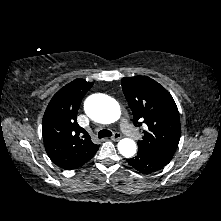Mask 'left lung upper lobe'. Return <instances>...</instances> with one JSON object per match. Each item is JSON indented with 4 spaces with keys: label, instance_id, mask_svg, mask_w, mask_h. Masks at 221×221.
Returning <instances> with one entry per match:
<instances>
[{
    "label": "left lung upper lobe",
    "instance_id": "obj_1",
    "mask_svg": "<svg viewBox=\"0 0 221 221\" xmlns=\"http://www.w3.org/2000/svg\"><path fill=\"white\" fill-rule=\"evenodd\" d=\"M121 85L133 113L134 125H147L138 150L170 162L181 134L179 112L172 96L147 76L124 77Z\"/></svg>",
    "mask_w": 221,
    "mask_h": 221
}]
</instances>
